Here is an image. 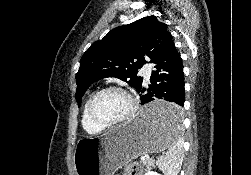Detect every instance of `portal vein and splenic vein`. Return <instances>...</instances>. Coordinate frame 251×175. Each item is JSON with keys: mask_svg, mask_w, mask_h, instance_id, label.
<instances>
[{"mask_svg": "<svg viewBox=\"0 0 251 175\" xmlns=\"http://www.w3.org/2000/svg\"><path fill=\"white\" fill-rule=\"evenodd\" d=\"M141 157H142V159H145V158L148 157V154H147V153H142V154H141Z\"/></svg>", "mask_w": 251, "mask_h": 175, "instance_id": "18ae733b", "label": "portal vein and splenic vein"}]
</instances>
